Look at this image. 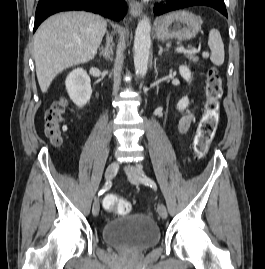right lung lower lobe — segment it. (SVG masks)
Returning a JSON list of instances; mask_svg holds the SVG:
<instances>
[{
    "instance_id": "right-lung-lower-lobe-1",
    "label": "right lung lower lobe",
    "mask_w": 265,
    "mask_h": 269,
    "mask_svg": "<svg viewBox=\"0 0 265 269\" xmlns=\"http://www.w3.org/2000/svg\"><path fill=\"white\" fill-rule=\"evenodd\" d=\"M69 10H85L120 20L127 12V6L123 0H39L34 31L48 16Z\"/></svg>"
}]
</instances>
